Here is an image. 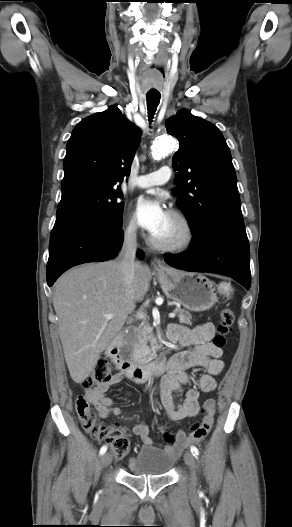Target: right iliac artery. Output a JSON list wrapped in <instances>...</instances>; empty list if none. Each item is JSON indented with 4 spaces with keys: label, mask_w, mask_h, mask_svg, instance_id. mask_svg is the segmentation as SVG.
I'll return each instance as SVG.
<instances>
[{
    "label": "right iliac artery",
    "mask_w": 292,
    "mask_h": 527,
    "mask_svg": "<svg viewBox=\"0 0 292 527\" xmlns=\"http://www.w3.org/2000/svg\"><path fill=\"white\" fill-rule=\"evenodd\" d=\"M106 451H107V446L106 445L102 446L100 449V455H103Z\"/></svg>",
    "instance_id": "82829eb1"
}]
</instances>
